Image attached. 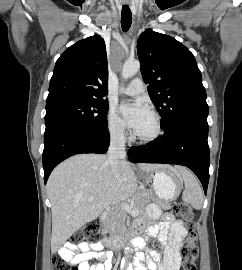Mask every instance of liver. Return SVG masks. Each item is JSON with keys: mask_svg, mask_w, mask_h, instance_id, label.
Instances as JSON below:
<instances>
[{"mask_svg": "<svg viewBox=\"0 0 242 270\" xmlns=\"http://www.w3.org/2000/svg\"><path fill=\"white\" fill-rule=\"evenodd\" d=\"M107 160V155L78 154L52 171L47 182L52 211V251H57L109 205L139 193L130 164L123 160L114 171ZM163 167L167 165L139 164V169L144 172ZM90 197L95 199L90 201Z\"/></svg>", "mask_w": 242, "mask_h": 270, "instance_id": "obj_1", "label": "liver"}]
</instances>
